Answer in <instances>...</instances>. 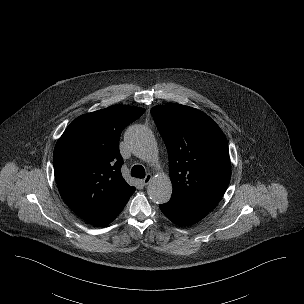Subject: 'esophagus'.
Instances as JSON below:
<instances>
[{
	"label": "esophagus",
	"mask_w": 304,
	"mask_h": 304,
	"mask_svg": "<svg viewBox=\"0 0 304 304\" xmlns=\"http://www.w3.org/2000/svg\"><path fill=\"white\" fill-rule=\"evenodd\" d=\"M153 176L152 174L148 173L144 179H142V183L143 185H147L150 183V181L152 180Z\"/></svg>",
	"instance_id": "34e87169"
}]
</instances>
